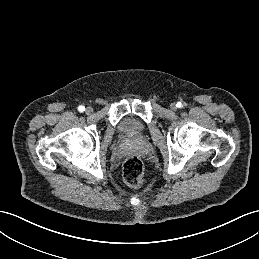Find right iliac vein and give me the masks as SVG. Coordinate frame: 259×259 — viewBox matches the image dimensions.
Returning <instances> with one entry per match:
<instances>
[{
	"mask_svg": "<svg viewBox=\"0 0 259 259\" xmlns=\"http://www.w3.org/2000/svg\"><path fill=\"white\" fill-rule=\"evenodd\" d=\"M86 114H91L93 112V109L91 107H87L85 110Z\"/></svg>",
	"mask_w": 259,
	"mask_h": 259,
	"instance_id": "right-iliac-vein-1",
	"label": "right iliac vein"
}]
</instances>
